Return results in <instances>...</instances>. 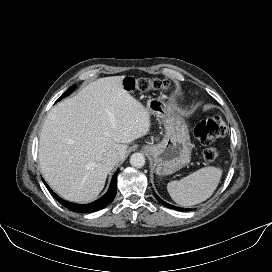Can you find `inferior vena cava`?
Masks as SVG:
<instances>
[{
    "label": "inferior vena cava",
    "instance_id": "obj_1",
    "mask_svg": "<svg viewBox=\"0 0 272 272\" xmlns=\"http://www.w3.org/2000/svg\"><path fill=\"white\" fill-rule=\"evenodd\" d=\"M120 161V156L117 151H108L102 158V162L114 166Z\"/></svg>",
    "mask_w": 272,
    "mask_h": 272
}]
</instances>
